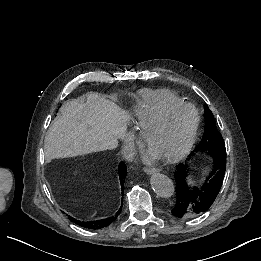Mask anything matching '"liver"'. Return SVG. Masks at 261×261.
<instances>
[{
    "mask_svg": "<svg viewBox=\"0 0 261 261\" xmlns=\"http://www.w3.org/2000/svg\"><path fill=\"white\" fill-rule=\"evenodd\" d=\"M125 113L91 93L64 104L48 131L45 152L66 157L113 150L126 133Z\"/></svg>",
    "mask_w": 261,
    "mask_h": 261,
    "instance_id": "6515ba94",
    "label": "liver"
}]
</instances>
